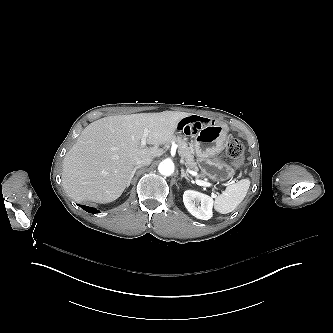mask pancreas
Instances as JSON below:
<instances>
[{
  "label": "pancreas",
  "mask_w": 333,
  "mask_h": 333,
  "mask_svg": "<svg viewBox=\"0 0 333 333\" xmlns=\"http://www.w3.org/2000/svg\"><path fill=\"white\" fill-rule=\"evenodd\" d=\"M176 144L178 145V154L181 159L184 161L185 166L193 171H198L197 164L194 160L193 151L190 146H188L187 142L180 136L174 138ZM202 177V174L198 175Z\"/></svg>",
  "instance_id": "cf45deb5"
}]
</instances>
